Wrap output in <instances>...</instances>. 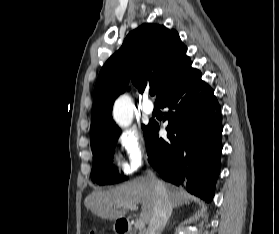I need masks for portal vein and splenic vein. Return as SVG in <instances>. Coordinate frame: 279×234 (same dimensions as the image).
Returning a JSON list of instances; mask_svg holds the SVG:
<instances>
[{"mask_svg": "<svg viewBox=\"0 0 279 234\" xmlns=\"http://www.w3.org/2000/svg\"><path fill=\"white\" fill-rule=\"evenodd\" d=\"M119 207H123L125 209H130V210H136L138 209L137 205L135 204H132V203H122L119 205ZM145 226V223L143 220H137L136 223H135V228L136 229H142L144 228Z\"/></svg>", "mask_w": 279, "mask_h": 234, "instance_id": "obj_1", "label": "portal vein and splenic vein"}]
</instances>
